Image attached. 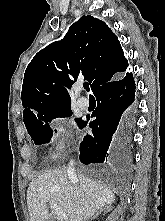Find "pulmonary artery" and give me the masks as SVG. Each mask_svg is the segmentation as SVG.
I'll return each instance as SVG.
<instances>
[{
    "mask_svg": "<svg viewBox=\"0 0 165 221\" xmlns=\"http://www.w3.org/2000/svg\"><path fill=\"white\" fill-rule=\"evenodd\" d=\"M81 90V87H79ZM77 105L81 110H86L89 107V100L85 97H80L77 101Z\"/></svg>",
    "mask_w": 165,
    "mask_h": 221,
    "instance_id": "obj_1",
    "label": "pulmonary artery"
}]
</instances>
